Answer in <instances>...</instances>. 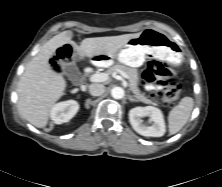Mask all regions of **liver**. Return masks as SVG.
I'll return each instance as SVG.
<instances>
[{
	"instance_id": "6515ba94",
	"label": "liver",
	"mask_w": 222,
	"mask_h": 187,
	"mask_svg": "<svg viewBox=\"0 0 222 187\" xmlns=\"http://www.w3.org/2000/svg\"><path fill=\"white\" fill-rule=\"evenodd\" d=\"M140 33L109 37L85 38L80 46L71 42L72 31H64L46 42L39 53L27 64L17 88L20 115L38 128H44L49 121V113L63 95L67 86L64 77L53 71L49 58L57 48L71 44L78 56L92 58L98 55H114L130 39Z\"/></svg>"
}]
</instances>
